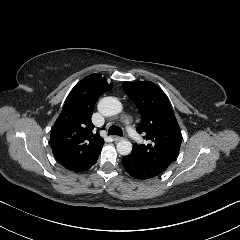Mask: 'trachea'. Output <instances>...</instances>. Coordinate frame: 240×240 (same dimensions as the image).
<instances>
[{"label":"trachea","instance_id":"obj_1","mask_svg":"<svg viewBox=\"0 0 240 240\" xmlns=\"http://www.w3.org/2000/svg\"><path fill=\"white\" fill-rule=\"evenodd\" d=\"M108 135H117L122 137L123 136V132L122 129L116 125H112L109 129H108Z\"/></svg>","mask_w":240,"mask_h":240}]
</instances>
